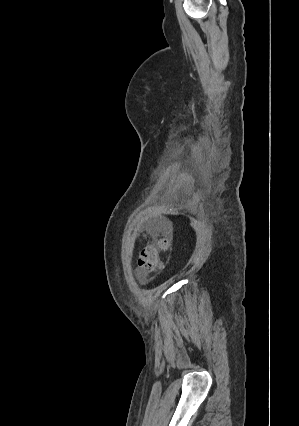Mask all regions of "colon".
Returning <instances> with one entry per match:
<instances>
[{
    "label": "colon",
    "mask_w": 299,
    "mask_h": 426,
    "mask_svg": "<svg viewBox=\"0 0 299 426\" xmlns=\"http://www.w3.org/2000/svg\"><path fill=\"white\" fill-rule=\"evenodd\" d=\"M169 247L167 239H161L156 247L145 248L139 258V267L144 275L156 272L162 266L161 254Z\"/></svg>",
    "instance_id": "1"
}]
</instances>
